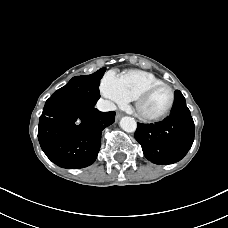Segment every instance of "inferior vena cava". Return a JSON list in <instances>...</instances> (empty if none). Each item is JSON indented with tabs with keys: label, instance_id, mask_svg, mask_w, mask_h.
I'll use <instances>...</instances> for the list:
<instances>
[{
	"label": "inferior vena cava",
	"instance_id": "obj_1",
	"mask_svg": "<svg viewBox=\"0 0 228 228\" xmlns=\"http://www.w3.org/2000/svg\"><path fill=\"white\" fill-rule=\"evenodd\" d=\"M96 108L103 112L114 111L116 110V105L108 100L100 99L97 102Z\"/></svg>",
	"mask_w": 228,
	"mask_h": 228
}]
</instances>
